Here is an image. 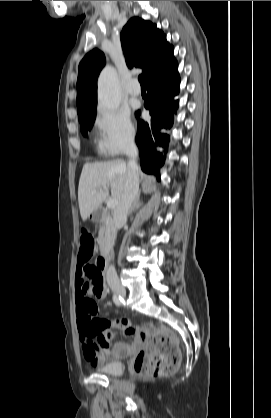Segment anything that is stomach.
I'll return each instance as SVG.
<instances>
[{"instance_id":"obj_1","label":"stomach","mask_w":271,"mask_h":418,"mask_svg":"<svg viewBox=\"0 0 271 418\" xmlns=\"http://www.w3.org/2000/svg\"><path fill=\"white\" fill-rule=\"evenodd\" d=\"M88 219L92 222H98L100 221V215H99V211L95 210L93 211L89 216Z\"/></svg>"}]
</instances>
